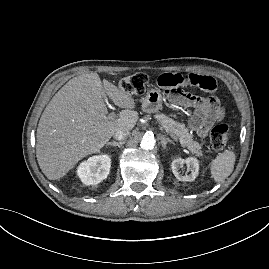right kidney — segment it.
<instances>
[{
    "instance_id": "obj_1",
    "label": "right kidney",
    "mask_w": 269,
    "mask_h": 269,
    "mask_svg": "<svg viewBox=\"0 0 269 269\" xmlns=\"http://www.w3.org/2000/svg\"><path fill=\"white\" fill-rule=\"evenodd\" d=\"M111 166L108 155L92 156L82 162L77 169V175L85 185H95L106 179Z\"/></svg>"
}]
</instances>
